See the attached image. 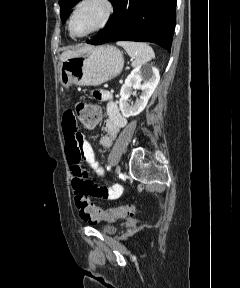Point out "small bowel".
I'll list each match as a JSON object with an SVG mask.
<instances>
[{"instance_id": "1", "label": "small bowel", "mask_w": 240, "mask_h": 288, "mask_svg": "<svg viewBox=\"0 0 240 288\" xmlns=\"http://www.w3.org/2000/svg\"><path fill=\"white\" fill-rule=\"evenodd\" d=\"M94 96L106 104L107 118L103 124L106 134L100 138L99 144L103 148H109L119 131L127 124V120L121 114L111 92L107 90H97L94 92ZM62 131L65 140L71 183L75 192L108 200L119 198L123 193L122 185H97L90 179L89 173L83 169L82 160L86 161L97 175H104L103 169L95 158L91 144L85 140L78 131L75 113L72 110H67L63 114Z\"/></svg>"}]
</instances>
